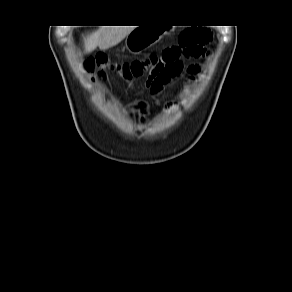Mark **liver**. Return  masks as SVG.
Wrapping results in <instances>:
<instances>
[{"label":"liver","mask_w":292,"mask_h":292,"mask_svg":"<svg viewBox=\"0 0 292 292\" xmlns=\"http://www.w3.org/2000/svg\"><path fill=\"white\" fill-rule=\"evenodd\" d=\"M135 26H102L98 30L84 37L86 53H91L97 47L101 50L108 49L122 41Z\"/></svg>","instance_id":"1"}]
</instances>
